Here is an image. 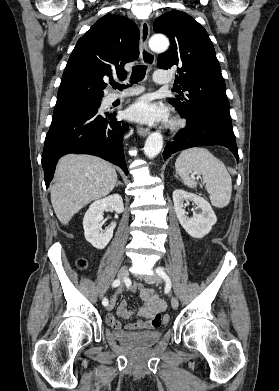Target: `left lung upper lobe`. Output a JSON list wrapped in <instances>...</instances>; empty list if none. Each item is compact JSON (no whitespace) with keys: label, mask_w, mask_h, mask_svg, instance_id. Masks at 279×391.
<instances>
[{"label":"left lung upper lobe","mask_w":279,"mask_h":391,"mask_svg":"<svg viewBox=\"0 0 279 391\" xmlns=\"http://www.w3.org/2000/svg\"><path fill=\"white\" fill-rule=\"evenodd\" d=\"M156 33L170 39L171 46L158 57L161 69L177 67L179 89L188 93L170 99L180 114L198 109L217 112L229 119V101L215 49L206 30L188 14L172 10L153 23Z\"/></svg>","instance_id":"5c2ea615"}]
</instances>
